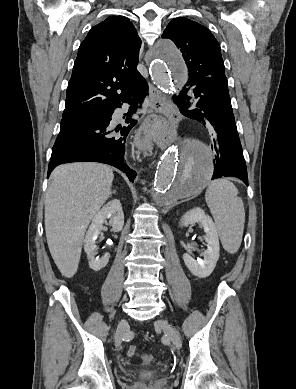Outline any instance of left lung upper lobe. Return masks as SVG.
<instances>
[{
	"mask_svg": "<svg viewBox=\"0 0 296 389\" xmlns=\"http://www.w3.org/2000/svg\"><path fill=\"white\" fill-rule=\"evenodd\" d=\"M162 38L171 39L180 49L189 71L187 82L226 78L220 45L203 25L187 18L173 19Z\"/></svg>",
	"mask_w": 296,
	"mask_h": 389,
	"instance_id": "1",
	"label": "left lung upper lobe"
}]
</instances>
